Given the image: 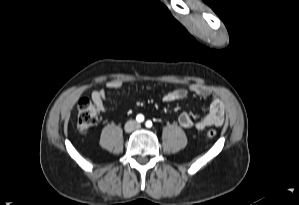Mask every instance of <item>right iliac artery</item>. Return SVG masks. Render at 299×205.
I'll use <instances>...</instances> for the list:
<instances>
[{
  "mask_svg": "<svg viewBox=\"0 0 299 205\" xmlns=\"http://www.w3.org/2000/svg\"><path fill=\"white\" fill-rule=\"evenodd\" d=\"M136 120L138 122H143L144 121V116L142 114L137 115Z\"/></svg>",
  "mask_w": 299,
  "mask_h": 205,
  "instance_id": "right-iliac-artery-1",
  "label": "right iliac artery"
}]
</instances>
